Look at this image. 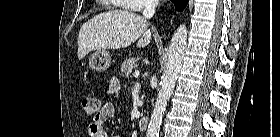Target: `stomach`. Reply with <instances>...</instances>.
Here are the masks:
<instances>
[{
	"mask_svg": "<svg viewBox=\"0 0 280 137\" xmlns=\"http://www.w3.org/2000/svg\"><path fill=\"white\" fill-rule=\"evenodd\" d=\"M111 63V57L106 50L96 51L89 59V66L92 70L103 72L107 70Z\"/></svg>",
	"mask_w": 280,
	"mask_h": 137,
	"instance_id": "stomach-1",
	"label": "stomach"
}]
</instances>
